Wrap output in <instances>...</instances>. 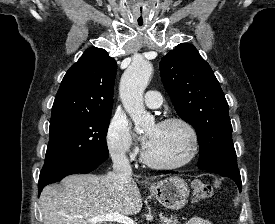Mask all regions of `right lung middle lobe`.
<instances>
[{
  "mask_svg": "<svg viewBox=\"0 0 275 224\" xmlns=\"http://www.w3.org/2000/svg\"><path fill=\"white\" fill-rule=\"evenodd\" d=\"M110 116L111 113L52 116L43 167L107 153L106 134Z\"/></svg>",
  "mask_w": 275,
  "mask_h": 224,
  "instance_id": "dd1d6c3e",
  "label": "right lung middle lobe"
}]
</instances>
